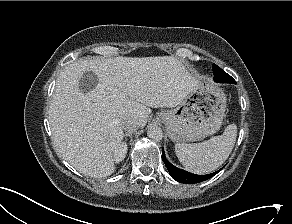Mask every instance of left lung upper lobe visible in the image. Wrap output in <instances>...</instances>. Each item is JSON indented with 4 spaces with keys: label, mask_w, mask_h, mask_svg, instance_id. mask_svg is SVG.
I'll return each instance as SVG.
<instances>
[{
    "label": "left lung upper lobe",
    "mask_w": 292,
    "mask_h": 224,
    "mask_svg": "<svg viewBox=\"0 0 292 224\" xmlns=\"http://www.w3.org/2000/svg\"><path fill=\"white\" fill-rule=\"evenodd\" d=\"M213 73H214V80L215 81H216L217 78H222L223 77V70L221 68H219L215 64H213ZM228 83H231V82H228Z\"/></svg>",
    "instance_id": "1"
}]
</instances>
